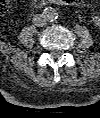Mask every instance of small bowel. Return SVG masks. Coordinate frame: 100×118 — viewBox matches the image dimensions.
Masks as SVG:
<instances>
[{
	"label": "small bowel",
	"mask_w": 100,
	"mask_h": 118,
	"mask_svg": "<svg viewBox=\"0 0 100 118\" xmlns=\"http://www.w3.org/2000/svg\"><path fill=\"white\" fill-rule=\"evenodd\" d=\"M93 22L95 24H99L100 23V18L99 17H93Z\"/></svg>",
	"instance_id": "obj_1"
}]
</instances>
